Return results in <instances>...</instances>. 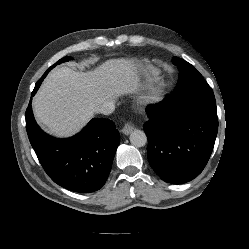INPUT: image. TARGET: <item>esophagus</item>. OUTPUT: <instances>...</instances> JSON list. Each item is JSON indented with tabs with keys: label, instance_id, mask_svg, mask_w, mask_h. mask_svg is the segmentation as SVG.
<instances>
[{
	"label": "esophagus",
	"instance_id": "esophagus-1",
	"mask_svg": "<svg viewBox=\"0 0 249 249\" xmlns=\"http://www.w3.org/2000/svg\"><path fill=\"white\" fill-rule=\"evenodd\" d=\"M135 126L131 123H126L121 130L123 134L128 135L134 130Z\"/></svg>",
	"mask_w": 249,
	"mask_h": 249
}]
</instances>
